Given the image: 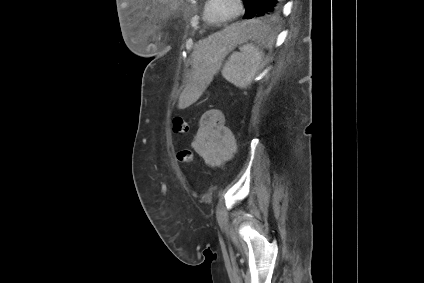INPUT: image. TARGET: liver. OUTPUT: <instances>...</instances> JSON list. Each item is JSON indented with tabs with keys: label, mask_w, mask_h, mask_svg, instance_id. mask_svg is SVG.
Listing matches in <instances>:
<instances>
[{
	"label": "liver",
	"mask_w": 424,
	"mask_h": 283,
	"mask_svg": "<svg viewBox=\"0 0 424 283\" xmlns=\"http://www.w3.org/2000/svg\"><path fill=\"white\" fill-rule=\"evenodd\" d=\"M247 30L243 25L235 24L198 42L192 53V82L179 97V109L190 106L198 99L206 82L213 77L214 71L220 65L221 59L236 46Z\"/></svg>",
	"instance_id": "liver-1"
}]
</instances>
